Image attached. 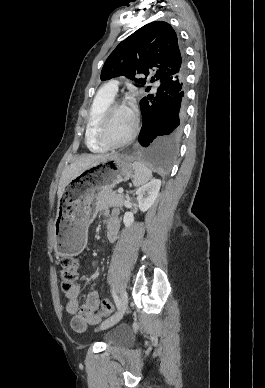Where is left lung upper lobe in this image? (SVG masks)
<instances>
[{"instance_id": "obj_1", "label": "left lung upper lobe", "mask_w": 265, "mask_h": 388, "mask_svg": "<svg viewBox=\"0 0 265 388\" xmlns=\"http://www.w3.org/2000/svg\"><path fill=\"white\" fill-rule=\"evenodd\" d=\"M155 68L151 82L160 81L186 70L185 58L177 35L166 22L154 21L123 40L109 55L101 71V80L125 75L137 83L138 74L148 76ZM147 87L146 91H149Z\"/></svg>"}]
</instances>
